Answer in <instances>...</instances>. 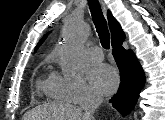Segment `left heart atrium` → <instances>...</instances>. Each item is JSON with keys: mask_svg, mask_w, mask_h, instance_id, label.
Here are the masks:
<instances>
[{"mask_svg": "<svg viewBox=\"0 0 165 120\" xmlns=\"http://www.w3.org/2000/svg\"><path fill=\"white\" fill-rule=\"evenodd\" d=\"M88 78L91 86L99 94H110L118 85L116 70L107 64H97L88 70Z\"/></svg>", "mask_w": 165, "mask_h": 120, "instance_id": "1", "label": "left heart atrium"}]
</instances>
